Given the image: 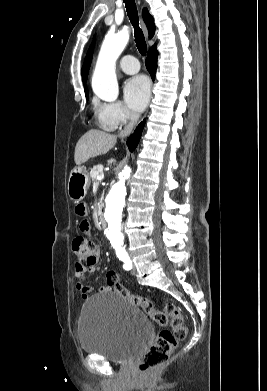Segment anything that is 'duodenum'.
I'll list each match as a JSON object with an SVG mask.
<instances>
[{
	"label": "duodenum",
	"mask_w": 267,
	"mask_h": 391,
	"mask_svg": "<svg viewBox=\"0 0 267 391\" xmlns=\"http://www.w3.org/2000/svg\"><path fill=\"white\" fill-rule=\"evenodd\" d=\"M99 224L101 226L102 229H105L107 227V224H106V221H105V218H104V215H103V210L102 208L99 209Z\"/></svg>",
	"instance_id": "1"
}]
</instances>
